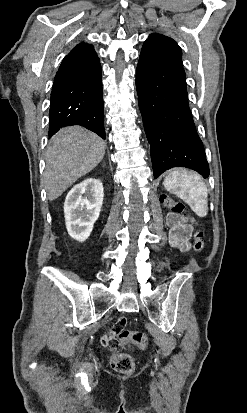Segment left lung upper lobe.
<instances>
[{
	"mask_svg": "<svg viewBox=\"0 0 247 413\" xmlns=\"http://www.w3.org/2000/svg\"><path fill=\"white\" fill-rule=\"evenodd\" d=\"M142 48L154 49L182 63L181 48L173 39L162 34H151Z\"/></svg>",
	"mask_w": 247,
	"mask_h": 413,
	"instance_id": "5c2ea615",
	"label": "left lung upper lobe"
}]
</instances>
